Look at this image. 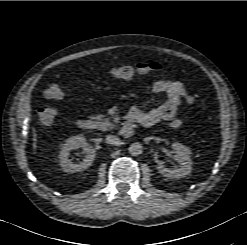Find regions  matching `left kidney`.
I'll return each instance as SVG.
<instances>
[{
	"mask_svg": "<svg viewBox=\"0 0 247 245\" xmlns=\"http://www.w3.org/2000/svg\"><path fill=\"white\" fill-rule=\"evenodd\" d=\"M175 152V160L179 162V166L174 169L166 168L163 164H158L157 170L164 177L169 179H179L187 176L192 171L191 150L179 142L172 144Z\"/></svg>",
	"mask_w": 247,
	"mask_h": 245,
	"instance_id": "5707ae66",
	"label": "left kidney"
}]
</instances>
